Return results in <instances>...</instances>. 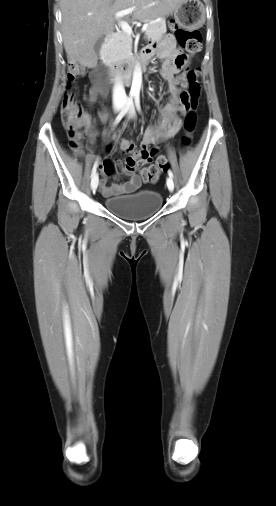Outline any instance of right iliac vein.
Returning a JSON list of instances; mask_svg holds the SVG:
<instances>
[{
	"mask_svg": "<svg viewBox=\"0 0 276 506\" xmlns=\"http://www.w3.org/2000/svg\"><path fill=\"white\" fill-rule=\"evenodd\" d=\"M121 107H122V104L117 105L115 108H116V110H119ZM97 186H98V175L96 174L94 177H92V180H91V188H92V190L96 191Z\"/></svg>",
	"mask_w": 276,
	"mask_h": 506,
	"instance_id": "1",
	"label": "right iliac vein"
}]
</instances>
